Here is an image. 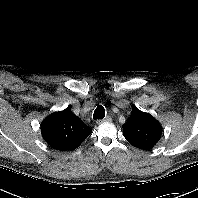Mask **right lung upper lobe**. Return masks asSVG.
<instances>
[{"label":"right lung upper lobe","mask_w":198,"mask_h":198,"mask_svg":"<svg viewBox=\"0 0 198 198\" xmlns=\"http://www.w3.org/2000/svg\"><path fill=\"white\" fill-rule=\"evenodd\" d=\"M43 139L54 149L74 150L91 134L92 129L71 109L55 112L46 117L41 124Z\"/></svg>","instance_id":"right-lung-upper-lobe-1"}]
</instances>
